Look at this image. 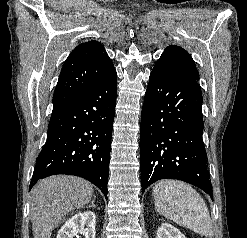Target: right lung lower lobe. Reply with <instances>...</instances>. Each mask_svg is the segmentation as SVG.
Returning a JSON list of instances; mask_svg holds the SVG:
<instances>
[{
	"label": "right lung lower lobe",
	"instance_id": "obj_1",
	"mask_svg": "<svg viewBox=\"0 0 247 238\" xmlns=\"http://www.w3.org/2000/svg\"><path fill=\"white\" fill-rule=\"evenodd\" d=\"M117 73L65 105L54 109L47 141L37 157L31 189L43 178L68 174L85 178L107 198Z\"/></svg>",
	"mask_w": 247,
	"mask_h": 238
}]
</instances>
